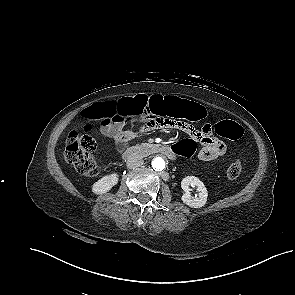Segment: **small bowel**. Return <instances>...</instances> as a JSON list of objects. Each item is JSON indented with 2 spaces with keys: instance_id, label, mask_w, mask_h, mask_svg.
Returning <instances> with one entry per match:
<instances>
[{
  "instance_id": "obj_1",
  "label": "small bowel",
  "mask_w": 295,
  "mask_h": 295,
  "mask_svg": "<svg viewBox=\"0 0 295 295\" xmlns=\"http://www.w3.org/2000/svg\"><path fill=\"white\" fill-rule=\"evenodd\" d=\"M139 132L145 133L161 128H173L189 135L191 141H198L201 148L198 158L202 161H213L223 156L226 152V145L221 140L213 136V128L210 124L203 126L201 130L185 124L182 120H174L168 117L155 118L152 116H142ZM101 133L114 140L118 151H123L137 135L133 129L125 128V119L110 122H102Z\"/></svg>"
}]
</instances>
